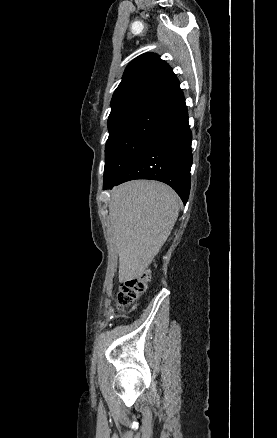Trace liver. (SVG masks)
<instances>
[{
  "instance_id": "1",
  "label": "liver",
  "mask_w": 277,
  "mask_h": 438,
  "mask_svg": "<svg viewBox=\"0 0 277 438\" xmlns=\"http://www.w3.org/2000/svg\"><path fill=\"white\" fill-rule=\"evenodd\" d=\"M109 218L119 254V282L142 278L179 216V196L153 180L126 182L111 192Z\"/></svg>"
}]
</instances>
